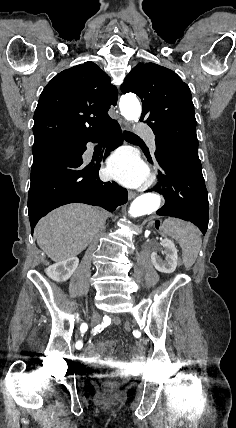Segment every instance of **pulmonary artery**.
Wrapping results in <instances>:
<instances>
[{
    "mask_svg": "<svg viewBox=\"0 0 236 428\" xmlns=\"http://www.w3.org/2000/svg\"><path fill=\"white\" fill-rule=\"evenodd\" d=\"M148 142H149L152 146H154V145H155V136H154V135H152V136L148 137Z\"/></svg>",
    "mask_w": 236,
    "mask_h": 428,
    "instance_id": "pulmonary-artery-1",
    "label": "pulmonary artery"
}]
</instances>
